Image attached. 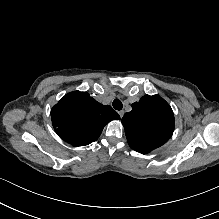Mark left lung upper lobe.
<instances>
[{"label":"left lung upper lobe","mask_w":219,"mask_h":219,"mask_svg":"<svg viewBox=\"0 0 219 219\" xmlns=\"http://www.w3.org/2000/svg\"><path fill=\"white\" fill-rule=\"evenodd\" d=\"M129 146L143 154L165 144L174 131V114L159 95H145L122 118Z\"/></svg>","instance_id":"obj_1"}]
</instances>
